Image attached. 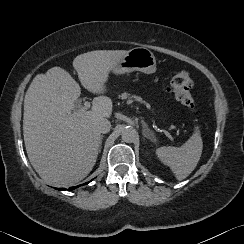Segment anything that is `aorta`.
<instances>
[{
  "label": "aorta",
  "instance_id": "obj_1",
  "mask_svg": "<svg viewBox=\"0 0 244 244\" xmlns=\"http://www.w3.org/2000/svg\"><path fill=\"white\" fill-rule=\"evenodd\" d=\"M136 136V130L131 126H125L121 131V137L125 142H132Z\"/></svg>",
  "mask_w": 244,
  "mask_h": 244
}]
</instances>
